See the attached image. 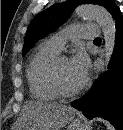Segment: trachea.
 Segmentation results:
<instances>
[{"instance_id": "1", "label": "trachea", "mask_w": 123, "mask_h": 130, "mask_svg": "<svg viewBox=\"0 0 123 130\" xmlns=\"http://www.w3.org/2000/svg\"><path fill=\"white\" fill-rule=\"evenodd\" d=\"M94 41H101V38H96Z\"/></svg>"}]
</instances>
